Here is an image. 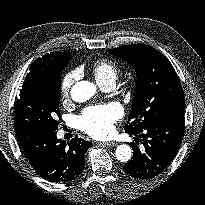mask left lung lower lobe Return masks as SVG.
Instances as JSON below:
<instances>
[{
  "label": "left lung lower lobe",
  "instance_id": "0a47b994",
  "mask_svg": "<svg viewBox=\"0 0 205 205\" xmlns=\"http://www.w3.org/2000/svg\"><path fill=\"white\" fill-rule=\"evenodd\" d=\"M184 110L175 111L146 125L135 135L145 149L140 150L133 142V157L123 170L137 179H150L168 167L176 156L184 135ZM141 138V139H139Z\"/></svg>",
  "mask_w": 205,
  "mask_h": 205
}]
</instances>
